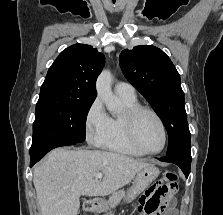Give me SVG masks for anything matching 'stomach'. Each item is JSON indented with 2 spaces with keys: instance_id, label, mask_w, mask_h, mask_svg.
<instances>
[{
  "instance_id": "0dacf381",
  "label": "stomach",
  "mask_w": 223,
  "mask_h": 215,
  "mask_svg": "<svg viewBox=\"0 0 223 215\" xmlns=\"http://www.w3.org/2000/svg\"><path fill=\"white\" fill-rule=\"evenodd\" d=\"M159 173L160 171L158 167H156V165H153V163H148L146 167H143V169H140V171H138L136 175L135 183L132 187V192L135 189L139 191L138 193H141V191H144V189H146V187H149L150 183H152V181H154V179L158 177ZM131 199H134V198H128V201H131ZM102 205H104L103 202L99 201L98 207L100 211H102V209L100 208Z\"/></svg>"
}]
</instances>
